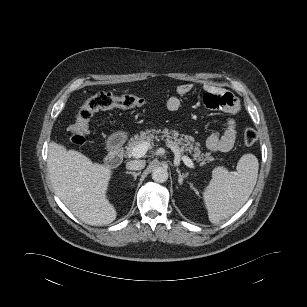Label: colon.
Wrapping results in <instances>:
<instances>
[{"instance_id":"colon-1","label":"colon","mask_w":307,"mask_h":307,"mask_svg":"<svg viewBox=\"0 0 307 307\" xmlns=\"http://www.w3.org/2000/svg\"><path fill=\"white\" fill-rule=\"evenodd\" d=\"M143 104L144 99L134 94L114 95L105 91L95 93L81 105L74 121L67 126L71 143L74 145L86 143L89 122L95 113L113 108L132 109ZM257 138L254 129L248 128L244 131L243 140L246 145H253Z\"/></svg>"}]
</instances>
